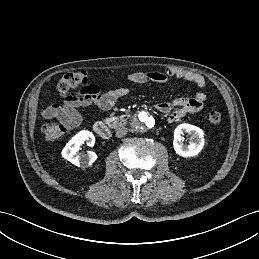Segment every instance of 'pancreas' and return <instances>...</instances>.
<instances>
[{"label":"pancreas","instance_id":"obj_1","mask_svg":"<svg viewBox=\"0 0 259 259\" xmlns=\"http://www.w3.org/2000/svg\"><path fill=\"white\" fill-rule=\"evenodd\" d=\"M107 122H111V118H108V119H107Z\"/></svg>","mask_w":259,"mask_h":259}]
</instances>
